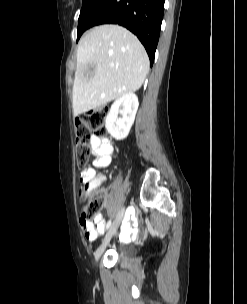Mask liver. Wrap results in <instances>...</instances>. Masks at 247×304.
I'll return each mask as SVG.
<instances>
[{
	"instance_id": "obj_1",
	"label": "liver",
	"mask_w": 247,
	"mask_h": 304,
	"mask_svg": "<svg viewBox=\"0 0 247 304\" xmlns=\"http://www.w3.org/2000/svg\"><path fill=\"white\" fill-rule=\"evenodd\" d=\"M148 71L143 45L124 27L101 25L86 32L77 47L74 116L137 91Z\"/></svg>"
}]
</instances>
